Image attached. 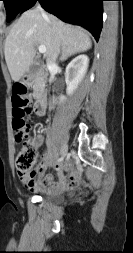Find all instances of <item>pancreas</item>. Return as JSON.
Here are the masks:
<instances>
[{"label":"pancreas","instance_id":"pancreas-1","mask_svg":"<svg viewBox=\"0 0 133 253\" xmlns=\"http://www.w3.org/2000/svg\"><path fill=\"white\" fill-rule=\"evenodd\" d=\"M38 88H39V84H38V82L36 81V83H35V85H34V87H33V89H34V95L37 94Z\"/></svg>","mask_w":133,"mask_h":253}]
</instances>
